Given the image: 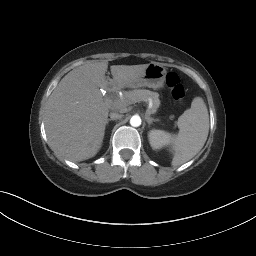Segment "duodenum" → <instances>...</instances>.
Segmentation results:
<instances>
[{
  "mask_svg": "<svg viewBox=\"0 0 256 256\" xmlns=\"http://www.w3.org/2000/svg\"><path fill=\"white\" fill-rule=\"evenodd\" d=\"M113 86H114V85H113L112 82H108V84H107V87H108V88H113Z\"/></svg>",
  "mask_w": 256,
  "mask_h": 256,
  "instance_id": "1",
  "label": "duodenum"
}]
</instances>
